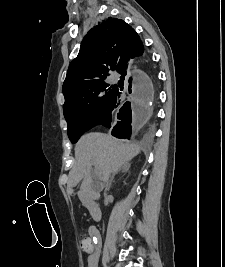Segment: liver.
Masks as SVG:
<instances>
[{
	"mask_svg": "<svg viewBox=\"0 0 225 267\" xmlns=\"http://www.w3.org/2000/svg\"><path fill=\"white\" fill-rule=\"evenodd\" d=\"M141 148L133 143L123 142L111 135L93 132L80 138L75 147V163L69 173L67 192L83 180L81 189L91 184V168L95 165L96 176L105 181L111 173L118 171L140 153Z\"/></svg>",
	"mask_w": 225,
	"mask_h": 267,
	"instance_id": "6515ba94",
	"label": "liver"
}]
</instances>
